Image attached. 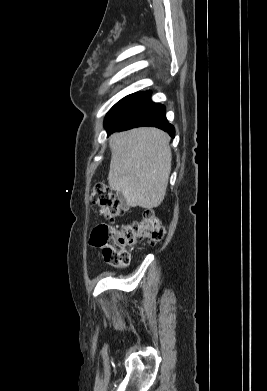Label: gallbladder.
Returning <instances> with one entry per match:
<instances>
[{
	"instance_id": "gallbladder-1",
	"label": "gallbladder",
	"mask_w": 267,
	"mask_h": 391,
	"mask_svg": "<svg viewBox=\"0 0 267 391\" xmlns=\"http://www.w3.org/2000/svg\"><path fill=\"white\" fill-rule=\"evenodd\" d=\"M118 197L123 199V195L121 193L118 194Z\"/></svg>"
}]
</instances>
